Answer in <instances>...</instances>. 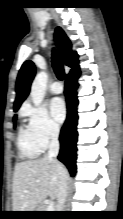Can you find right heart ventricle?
Segmentation results:
<instances>
[{"instance_id": "1", "label": "right heart ventricle", "mask_w": 123, "mask_h": 219, "mask_svg": "<svg viewBox=\"0 0 123 219\" xmlns=\"http://www.w3.org/2000/svg\"><path fill=\"white\" fill-rule=\"evenodd\" d=\"M18 148L25 159H33L39 156L42 148L36 142L29 126H21L18 134Z\"/></svg>"}]
</instances>
